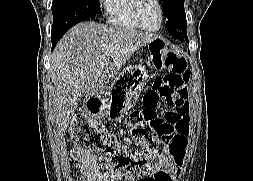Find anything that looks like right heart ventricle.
Wrapping results in <instances>:
<instances>
[{"mask_svg":"<svg viewBox=\"0 0 253 181\" xmlns=\"http://www.w3.org/2000/svg\"><path fill=\"white\" fill-rule=\"evenodd\" d=\"M106 21L120 29H140L131 14L132 0H102Z\"/></svg>","mask_w":253,"mask_h":181,"instance_id":"right-heart-ventricle-1","label":"right heart ventricle"}]
</instances>
